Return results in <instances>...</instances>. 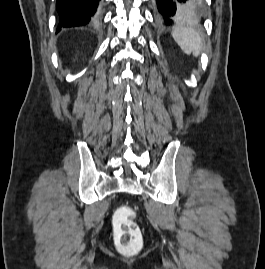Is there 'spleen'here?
<instances>
[{
  "instance_id": "spleen-1",
  "label": "spleen",
  "mask_w": 265,
  "mask_h": 269,
  "mask_svg": "<svg viewBox=\"0 0 265 269\" xmlns=\"http://www.w3.org/2000/svg\"><path fill=\"white\" fill-rule=\"evenodd\" d=\"M172 36L184 53L199 56L203 46V38L199 31L188 26L176 27L172 31Z\"/></svg>"
}]
</instances>
